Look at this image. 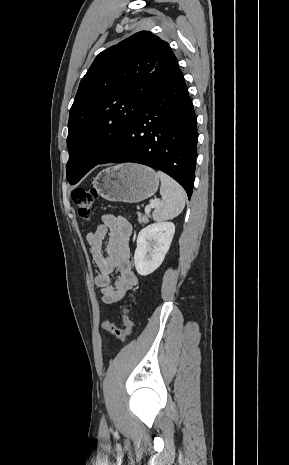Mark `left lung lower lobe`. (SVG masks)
<instances>
[{"mask_svg": "<svg viewBox=\"0 0 289 465\" xmlns=\"http://www.w3.org/2000/svg\"><path fill=\"white\" fill-rule=\"evenodd\" d=\"M197 121L180 69L159 83L98 164L133 162L174 178L190 199L194 185ZM97 164V165H98Z\"/></svg>", "mask_w": 289, "mask_h": 465, "instance_id": "0a47b994", "label": "left lung lower lobe"}]
</instances>
